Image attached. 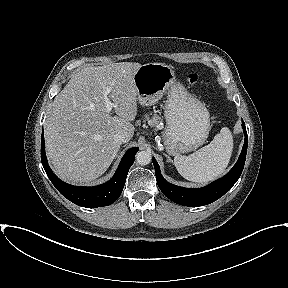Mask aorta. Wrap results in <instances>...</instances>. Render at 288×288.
<instances>
[{
    "label": "aorta",
    "mask_w": 288,
    "mask_h": 288,
    "mask_svg": "<svg viewBox=\"0 0 288 288\" xmlns=\"http://www.w3.org/2000/svg\"><path fill=\"white\" fill-rule=\"evenodd\" d=\"M151 159V153H149L148 151H139L136 154V161L141 166L149 164L151 162Z\"/></svg>",
    "instance_id": "762f6f07"
}]
</instances>
